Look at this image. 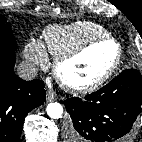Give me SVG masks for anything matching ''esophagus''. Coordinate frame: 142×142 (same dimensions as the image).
<instances>
[{
	"mask_svg": "<svg viewBox=\"0 0 142 142\" xmlns=\"http://www.w3.org/2000/svg\"><path fill=\"white\" fill-rule=\"evenodd\" d=\"M47 102H51L54 100V93L50 90L47 91V96H46Z\"/></svg>",
	"mask_w": 142,
	"mask_h": 142,
	"instance_id": "esophagus-1",
	"label": "esophagus"
}]
</instances>
